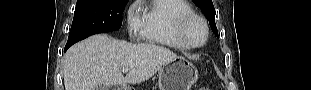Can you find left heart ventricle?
I'll use <instances>...</instances> for the list:
<instances>
[{
    "instance_id": "1",
    "label": "left heart ventricle",
    "mask_w": 311,
    "mask_h": 90,
    "mask_svg": "<svg viewBox=\"0 0 311 90\" xmlns=\"http://www.w3.org/2000/svg\"><path fill=\"white\" fill-rule=\"evenodd\" d=\"M189 38L195 42L199 43L204 37V29L199 22H193L188 28Z\"/></svg>"
}]
</instances>
